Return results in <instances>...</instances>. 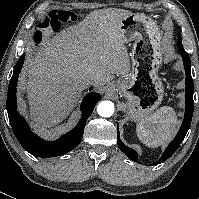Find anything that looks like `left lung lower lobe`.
Wrapping results in <instances>:
<instances>
[{"mask_svg": "<svg viewBox=\"0 0 199 199\" xmlns=\"http://www.w3.org/2000/svg\"><path fill=\"white\" fill-rule=\"evenodd\" d=\"M178 50L179 53L181 54L183 58V64L185 68V74H186V79H185V105H186V110H185V116L183 123L181 125V128L179 132L177 133L176 137L173 139V141L168 145V147L165 149L163 155L161 158L155 163V164H160L166 161L180 146L181 142L185 138V135L190 127L192 116H193V110H194V101H193V79L191 76V62L188 53L184 50L183 46L178 45ZM117 136H118V147L121 151H123L128 158H130L132 161H135L138 159V154L135 150L129 148L125 144L122 143L120 140V135H119V126L117 123Z\"/></svg>", "mask_w": 199, "mask_h": 199, "instance_id": "1", "label": "left lung lower lobe"}]
</instances>
